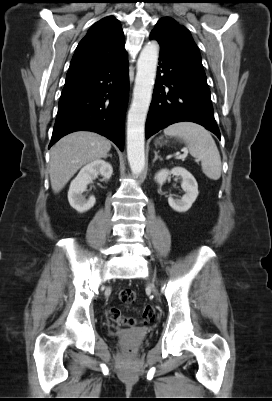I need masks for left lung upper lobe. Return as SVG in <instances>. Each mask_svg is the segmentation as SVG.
Here are the masks:
<instances>
[{
	"label": "left lung upper lobe",
	"mask_w": 272,
	"mask_h": 401,
	"mask_svg": "<svg viewBox=\"0 0 272 401\" xmlns=\"http://www.w3.org/2000/svg\"><path fill=\"white\" fill-rule=\"evenodd\" d=\"M150 36L158 40L160 46L202 65L198 47L189 30L179 25L174 19L161 18Z\"/></svg>",
	"instance_id": "obj_1"
}]
</instances>
